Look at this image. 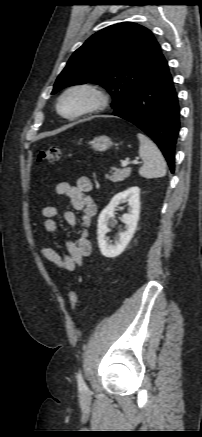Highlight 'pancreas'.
Listing matches in <instances>:
<instances>
[{
	"mask_svg": "<svg viewBox=\"0 0 202 437\" xmlns=\"http://www.w3.org/2000/svg\"><path fill=\"white\" fill-rule=\"evenodd\" d=\"M111 175L106 174L105 178L111 180L112 182H120L125 180L127 177L130 176L131 169L125 168V169H117L115 167L111 168L110 171Z\"/></svg>",
	"mask_w": 202,
	"mask_h": 437,
	"instance_id": "1",
	"label": "pancreas"
}]
</instances>
